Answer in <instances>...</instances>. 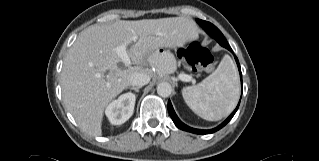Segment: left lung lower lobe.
Wrapping results in <instances>:
<instances>
[{
    "label": "left lung lower lobe",
    "instance_id": "left-lung-lower-lobe-1",
    "mask_svg": "<svg viewBox=\"0 0 319 161\" xmlns=\"http://www.w3.org/2000/svg\"><path fill=\"white\" fill-rule=\"evenodd\" d=\"M197 22L198 24L210 35H214L216 36V33H215V30L213 29H210L209 27H207V25L205 24V21L203 20H200V19H197ZM207 22V21H206ZM216 30H218L217 27H215ZM223 47L227 48L229 51H232V49L230 48L229 44L226 43L223 45ZM235 57V60L237 62V65H238V69H239V72H240V78H241V83H242V73H241V68H240V64H239V61L237 59L236 56ZM239 104H240V101L236 107V109L231 113V115L223 122L221 123L219 126H217L216 128H213V129H209V130H202V129H195V128H192V127H189L187 126L186 124H184L179 118L178 116L176 115L174 109H173V106L170 102V100L168 101V112L174 122V124L181 130H184V131H188V132H191V133H195V134H210V133H214L218 130H220L221 128H223L231 119L232 117L234 116V114L236 113V111L238 110V107H239Z\"/></svg>",
    "mask_w": 319,
    "mask_h": 161
}]
</instances>
